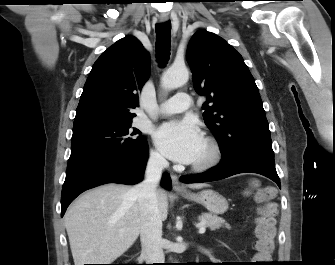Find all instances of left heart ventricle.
I'll return each instance as SVG.
<instances>
[{"label":"left heart ventricle","mask_w":335,"mask_h":265,"mask_svg":"<svg viewBox=\"0 0 335 265\" xmlns=\"http://www.w3.org/2000/svg\"><path fill=\"white\" fill-rule=\"evenodd\" d=\"M210 154V149L208 147V145L203 141V144L200 148V151L195 159V161L193 163H198V162H202L204 160H206L208 158Z\"/></svg>","instance_id":"obj_1"}]
</instances>
